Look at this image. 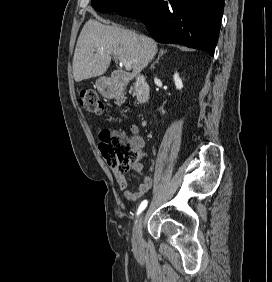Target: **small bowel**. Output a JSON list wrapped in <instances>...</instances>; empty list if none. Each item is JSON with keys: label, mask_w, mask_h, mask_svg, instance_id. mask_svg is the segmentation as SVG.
Instances as JSON below:
<instances>
[{"label": "small bowel", "mask_w": 272, "mask_h": 282, "mask_svg": "<svg viewBox=\"0 0 272 282\" xmlns=\"http://www.w3.org/2000/svg\"><path fill=\"white\" fill-rule=\"evenodd\" d=\"M133 135L131 137V142L133 145L141 149L144 147L145 141L143 136L138 132L137 128L133 126L132 128ZM133 169L137 172V174L141 177L140 184L136 187L135 191H132L129 187V184L123 173L117 171L116 169H112L113 176L120 188L123 192L124 196L130 201H137L140 199L146 192L150 190L152 187V179L150 176H147L143 172V166L140 162H137L133 165Z\"/></svg>", "instance_id": "1"}]
</instances>
